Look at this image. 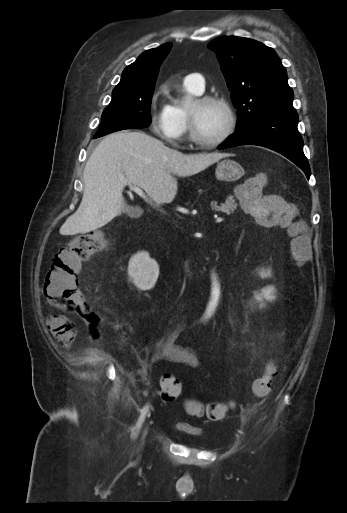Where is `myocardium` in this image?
Wrapping results in <instances>:
<instances>
[{"mask_svg":"<svg viewBox=\"0 0 347 513\" xmlns=\"http://www.w3.org/2000/svg\"><path fill=\"white\" fill-rule=\"evenodd\" d=\"M196 103H215L222 106L227 115V125L223 133L215 139L205 140L201 138L195 128L192 116L189 112V108H187V120H188V130L191 140L204 148H213L222 144L225 140H227L234 132L236 127V115L231 106V104L223 97L215 96V95H204L195 100Z\"/></svg>","mask_w":347,"mask_h":513,"instance_id":"obj_1","label":"myocardium"}]
</instances>
